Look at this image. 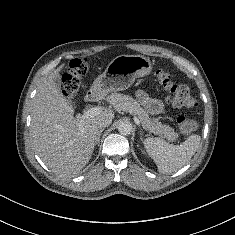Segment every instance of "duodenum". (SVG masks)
Masks as SVG:
<instances>
[{"label":"duodenum","instance_id":"obj_1","mask_svg":"<svg viewBox=\"0 0 235 235\" xmlns=\"http://www.w3.org/2000/svg\"><path fill=\"white\" fill-rule=\"evenodd\" d=\"M96 99H97V94L94 91L89 92L86 96L87 102H94Z\"/></svg>","mask_w":235,"mask_h":235}]
</instances>
